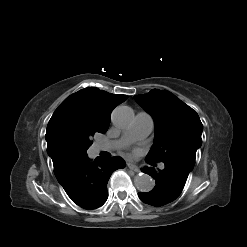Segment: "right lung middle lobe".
<instances>
[{"label":"right lung middle lobe","mask_w":247,"mask_h":247,"mask_svg":"<svg viewBox=\"0 0 247 247\" xmlns=\"http://www.w3.org/2000/svg\"><path fill=\"white\" fill-rule=\"evenodd\" d=\"M91 144H92V143H91V141L89 140V141L87 142L88 147H89Z\"/></svg>","instance_id":"obj_1"}]
</instances>
